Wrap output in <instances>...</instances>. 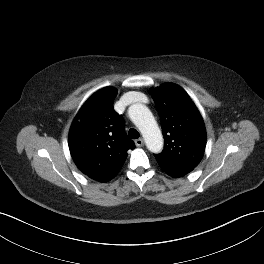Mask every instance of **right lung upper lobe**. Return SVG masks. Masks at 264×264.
<instances>
[{
  "label": "right lung upper lobe",
  "instance_id": "obj_1",
  "mask_svg": "<svg viewBox=\"0 0 264 264\" xmlns=\"http://www.w3.org/2000/svg\"><path fill=\"white\" fill-rule=\"evenodd\" d=\"M117 91L105 87L93 94L75 117L69 133V149L77 167L103 181L114 178L135 144L124 130V119L113 102Z\"/></svg>",
  "mask_w": 264,
  "mask_h": 264
}]
</instances>
